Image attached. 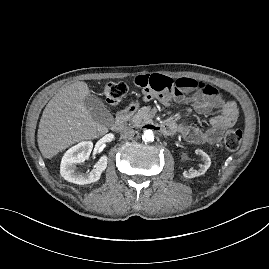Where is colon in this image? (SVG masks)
<instances>
[{"label":"colon","mask_w":269,"mask_h":269,"mask_svg":"<svg viewBox=\"0 0 269 269\" xmlns=\"http://www.w3.org/2000/svg\"><path fill=\"white\" fill-rule=\"evenodd\" d=\"M142 88V82L138 84ZM104 96L111 105H117L121 102L127 93V86L121 82H109L104 87ZM165 103V102H164ZM243 138V133L239 129L228 130L224 135V145L229 151H235L239 148Z\"/></svg>","instance_id":"5ec220e1"}]
</instances>
